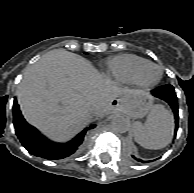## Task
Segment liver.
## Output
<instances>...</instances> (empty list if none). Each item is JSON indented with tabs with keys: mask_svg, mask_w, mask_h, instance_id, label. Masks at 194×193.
<instances>
[{
	"mask_svg": "<svg viewBox=\"0 0 194 193\" xmlns=\"http://www.w3.org/2000/svg\"><path fill=\"white\" fill-rule=\"evenodd\" d=\"M140 90L119 87L84 58L56 49L28 67L16 91L25 119L45 136L66 141L94 116L113 110L114 100L129 101Z\"/></svg>",
	"mask_w": 194,
	"mask_h": 193,
	"instance_id": "obj_1",
	"label": "liver"
}]
</instances>
